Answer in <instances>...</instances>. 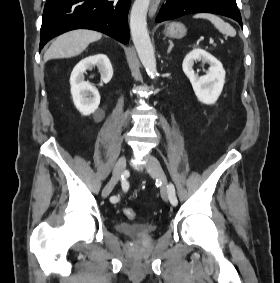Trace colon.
Here are the masks:
<instances>
[{
  "label": "colon",
  "instance_id": "colon-1",
  "mask_svg": "<svg viewBox=\"0 0 280 283\" xmlns=\"http://www.w3.org/2000/svg\"><path fill=\"white\" fill-rule=\"evenodd\" d=\"M124 214L129 219H135L136 218V212L131 208H125Z\"/></svg>",
  "mask_w": 280,
  "mask_h": 283
}]
</instances>
